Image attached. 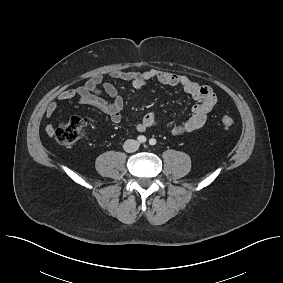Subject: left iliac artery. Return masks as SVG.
Returning <instances> with one entry per match:
<instances>
[{
    "label": "left iliac artery",
    "instance_id": "left-iliac-artery-1",
    "mask_svg": "<svg viewBox=\"0 0 283 283\" xmlns=\"http://www.w3.org/2000/svg\"><path fill=\"white\" fill-rule=\"evenodd\" d=\"M150 145H155L156 144V139L152 138L149 140Z\"/></svg>",
    "mask_w": 283,
    "mask_h": 283
}]
</instances>
